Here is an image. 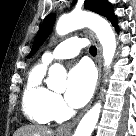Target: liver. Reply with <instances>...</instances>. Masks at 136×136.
Listing matches in <instances>:
<instances>
[{"mask_svg":"<svg viewBox=\"0 0 136 136\" xmlns=\"http://www.w3.org/2000/svg\"><path fill=\"white\" fill-rule=\"evenodd\" d=\"M14 136H54V134L42 126L26 125L18 129Z\"/></svg>","mask_w":136,"mask_h":136,"instance_id":"1","label":"liver"}]
</instances>
